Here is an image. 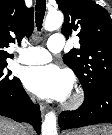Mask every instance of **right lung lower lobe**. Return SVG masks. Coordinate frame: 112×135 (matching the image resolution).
<instances>
[{
    "label": "right lung lower lobe",
    "mask_w": 112,
    "mask_h": 135,
    "mask_svg": "<svg viewBox=\"0 0 112 135\" xmlns=\"http://www.w3.org/2000/svg\"><path fill=\"white\" fill-rule=\"evenodd\" d=\"M0 115L17 122H29L37 133L41 131V112L38 105H32L21 82L10 91L0 93Z\"/></svg>",
    "instance_id": "1"
}]
</instances>
